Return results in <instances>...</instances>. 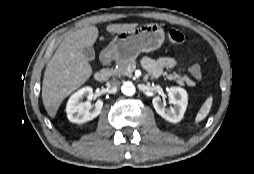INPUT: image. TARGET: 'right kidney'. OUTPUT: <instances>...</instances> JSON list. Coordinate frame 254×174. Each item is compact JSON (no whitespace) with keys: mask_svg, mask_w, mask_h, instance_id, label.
Wrapping results in <instances>:
<instances>
[{"mask_svg":"<svg viewBox=\"0 0 254 174\" xmlns=\"http://www.w3.org/2000/svg\"><path fill=\"white\" fill-rule=\"evenodd\" d=\"M93 94L91 87H83L75 92L68 100L66 105V112L69 121L74 123H85L96 118L102 110L103 101L98 100L94 108L90 101L82 102L83 98L90 99Z\"/></svg>","mask_w":254,"mask_h":174,"instance_id":"ca27d5eb","label":"right kidney"}]
</instances>
